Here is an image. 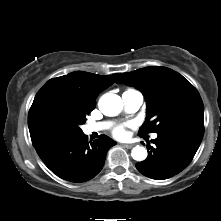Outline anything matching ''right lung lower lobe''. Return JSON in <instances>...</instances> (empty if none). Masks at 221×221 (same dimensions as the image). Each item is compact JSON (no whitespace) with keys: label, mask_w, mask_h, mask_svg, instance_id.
Segmentation results:
<instances>
[{"label":"right lung lower lobe","mask_w":221,"mask_h":221,"mask_svg":"<svg viewBox=\"0 0 221 221\" xmlns=\"http://www.w3.org/2000/svg\"><path fill=\"white\" fill-rule=\"evenodd\" d=\"M41 160L58 177L81 183L95 177L102 169L108 149L116 144L100 137L88 142L86 135H59L32 140Z\"/></svg>","instance_id":"98d812e1"}]
</instances>
